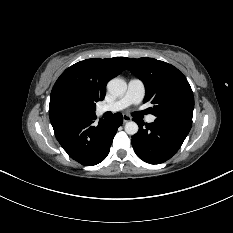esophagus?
I'll return each instance as SVG.
<instances>
[{
    "instance_id": "obj_1",
    "label": "esophagus",
    "mask_w": 233,
    "mask_h": 233,
    "mask_svg": "<svg viewBox=\"0 0 233 233\" xmlns=\"http://www.w3.org/2000/svg\"><path fill=\"white\" fill-rule=\"evenodd\" d=\"M131 121V117L128 116V115H123V122L126 123V122H129Z\"/></svg>"
}]
</instances>
